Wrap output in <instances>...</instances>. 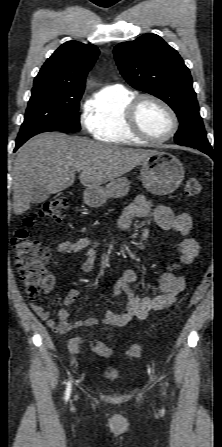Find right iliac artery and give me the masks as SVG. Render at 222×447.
I'll return each instance as SVG.
<instances>
[{
  "label": "right iliac artery",
  "instance_id": "82829eb1",
  "mask_svg": "<svg viewBox=\"0 0 222 447\" xmlns=\"http://www.w3.org/2000/svg\"><path fill=\"white\" fill-rule=\"evenodd\" d=\"M70 392H71V382H68L67 384V388L65 391V400L67 401L70 397Z\"/></svg>",
  "mask_w": 222,
  "mask_h": 447
}]
</instances>
